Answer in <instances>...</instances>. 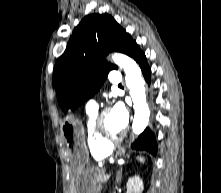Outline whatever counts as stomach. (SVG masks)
Listing matches in <instances>:
<instances>
[{
	"label": "stomach",
	"instance_id": "1",
	"mask_svg": "<svg viewBox=\"0 0 221 193\" xmlns=\"http://www.w3.org/2000/svg\"><path fill=\"white\" fill-rule=\"evenodd\" d=\"M68 120H62L60 134H64L65 141L68 142L69 155H72V167H74L76 177V193H95L99 174L96 164L88 162L86 147V137H84V126L79 120H75V115H68Z\"/></svg>",
	"mask_w": 221,
	"mask_h": 193
}]
</instances>
